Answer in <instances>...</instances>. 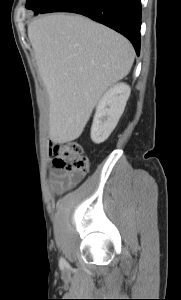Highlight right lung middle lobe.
<instances>
[{
  "mask_svg": "<svg viewBox=\"0 0 181 300\" xmlns=\"http://www.w3.org/2000/svg\"><path fill=\"white\" fill-rule=\"evenodd\" d=\"M56 0H27L26 8L34 11L36 14L40 13L47 6Z\"/></svg>",
  "mask_w": 181,
  "mask_h": 300,
  "instance_id": "obj_1",
  "label": "right lung middle lobe"
}]
</instances>
